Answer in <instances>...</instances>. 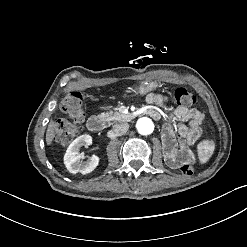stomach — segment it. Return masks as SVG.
I'll return each instance as SVG.
<instances>
[{
	"mask_svg": "<svg viewBox=\"0 0 247 247\" xmlns=\"http://www.w3.org/2000/svg\"><path fill=\"white\" fill-rule=\"evenodd\" d=\"M158 86L157 82L142 83L136 88L138 94L144 95L147 92L155 89Z\"/></svg>",
	"mask_w": 247,
	"mask_h": 247,
	"instance_id": "stomach-1",
	"label": "stomach"
}]
</instances>
